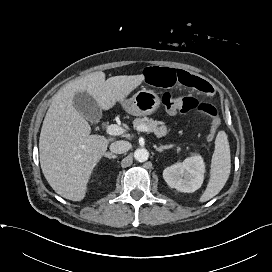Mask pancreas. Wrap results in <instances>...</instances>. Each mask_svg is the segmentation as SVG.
<instances>
[{
    "label": "pancreas",
    "instance_id": "1",
    "mask_svg": "<svg viewBox=\"0 0 272 272\" xmlns=\"http://www.w3.org/2000/svg\"><path fill=\"white\" fill-rule=\"evenodd\" d=\"M142 125L146 126L150 130V132H154V134L158 138H160L162 136H166L169 132L167 126L162 121L149 119L148 117L136 118L133 121V126L136 129Z\"/></svg>",
    "mask_w": 272,
    "mask_h": 272
}]
</instances>
